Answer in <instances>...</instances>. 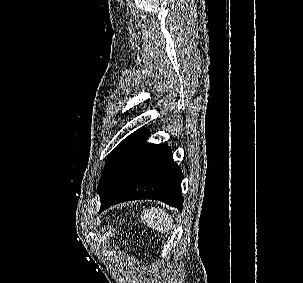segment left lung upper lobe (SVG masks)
<instances>
[{"mask_svg": "<svg viewBox=\"0 0 303 283\" xmlns=\"http://www.w3.org/2000/svg\"><path fill=\"white\" fill-rule=\"evenodd\" d=\"M134 134V133H133ZM133 134H131L130 136H128L126 139H124L108 156L107 161H106V165L104 168V171L102 173L101 179L99 181V185H98V189L103 185L104 181L106 180L119 152L122 150V148L125 146V144L128 142V140L133 136Z\"/></svg>", "mask_w": 303, "mask_h": 283, "instance_id": "left-lung-upper-lobe-1", "label": "left lung upper lobe"}]
</instances>
